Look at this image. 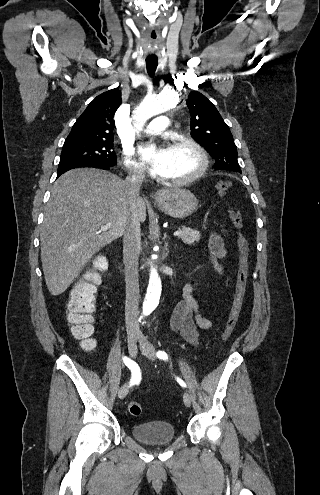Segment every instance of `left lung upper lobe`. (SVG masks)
I'll return each mask as SVG.
<instances>
[{"mask_svg":"<svg viewBox=\"0 0 320 495\" xmlns=\"http://www.w3.org/2000/svg\"><path fill=\"white\" fill-rule=\"evenodd\" d=\"M186 103L191 136L215 158L213 168L241 173L233 136L216 107L197 91L189 94Z\"/></svg>","mask_w":320,"mask_h":495,"instance_id":"left-lung-upper-lobe-1","label":"left lung upper lobe"}]
</instances>
